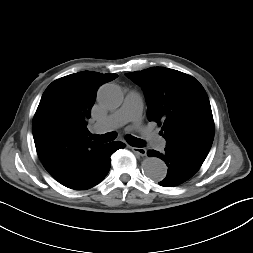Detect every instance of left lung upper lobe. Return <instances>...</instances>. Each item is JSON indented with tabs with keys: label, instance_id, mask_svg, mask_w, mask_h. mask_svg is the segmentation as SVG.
<instances>
[{
	"label": "left lung upper lobe",
	"instance_id": "left-lung-upper-lobe-1",
	"mask_svg": "<svg viewBox=\"0 0 253 253\" xmlns=\"http://www.w3.org/2000/svg\"><path fill=\"white\" fill-rule=\"evenodd\" d=\"M140 85L148 105L147 118L162 126L166 147L206 157L214 138L210 102L202 85L177 70L152 67L126 73Z\"/></svg>",
	"mask_w": 253,
	"mask_h": 253
}]
</instances>
